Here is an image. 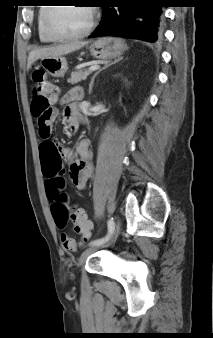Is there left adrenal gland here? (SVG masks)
Instances as JSON below:
<instances>
[{
    "label": "left adrenal gland",
    "instance_id": "obj_1",
    "mask_svg": "<svg viewBox=\"0 0 213 338\" xmlns=\"http://www.w3.org/2000/svg\"><path fill=\"white\" fill-rule=\"evenodd\" d=\"M122 59H123V58L121 57V58L115 60L114 62L105 65L102 69L98 70V71L93 75V77L91 78L90 84H89V94L92 93V88H93V84H94L95 77H96L102 70H104V69H106L107 67H109V66H111V65H113V64H115V63H117V62H119V61L122 60Z\"/></svg>",
    "mask_w": 213,
    "mask_h": 338
}]
</instances>
